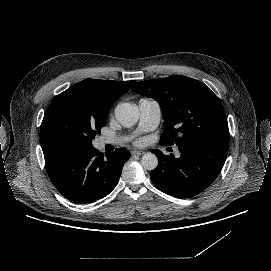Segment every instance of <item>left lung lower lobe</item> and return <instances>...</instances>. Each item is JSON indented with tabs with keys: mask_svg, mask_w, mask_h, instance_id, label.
Returning a JSON list of instances; mask_svg holds the SVG:
<instances>
[{
	"mask_svg": "<svg viewBox=\"0 0 271 271\" xmlns=\"http://www.w3.org/2000/svg\"><path fill=\"white\" fill-rule=\"evenodd\" d=\"M229 141L201 138L197 144L178 145L179 158L152 150L158 166L150 173L162 192L178 197H193L205 190L218 176L228 152Z\"/></svg>",
	"mask_w": 271,
	"mask_h": 271,
	"instance_id": "left-lung-lower-lobe-1",
	"label": "left lung lower lobe"
}]
</instances>
